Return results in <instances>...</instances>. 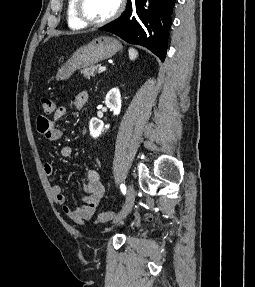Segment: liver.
Masks as SVG:
<instances>
[{
    "instance_id": "obj_1",
    "label": "liver",
    "mask_w": 255,
    "mask_h": 287,
    "mask_svg": "<svg viewBox=\"0 0 255 287\" xmlns=\"http://www.w3.org/2000/svg\"><path fill=\"white\" fill-rule=\"evenodd\" d=\"M49 38H50V36H49ZM49 38H46L45 42H47V40H49Z\"/></svg>"
}]
</instances>
